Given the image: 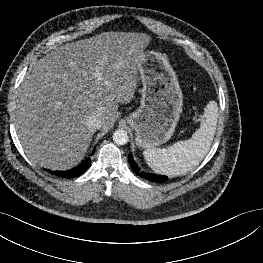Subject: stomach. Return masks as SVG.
<instances>
[{
  "instance_id": "stomach-1",
  "label": "stomach",
  "mask_w": 263,
  "mask_h": 263,
  "mask_svg": "<svg viewBox=\"0 0 263 263\" xmlns=\"http://www.w3.org/2000/svg\"><path fill=\"white\" fill-rule=\"evenodd\" d=\"M143 82L141 105L126 119L141 148L161 145L174 135L183 108V94L167 56L143 51L139 67Z\"/></svg>"
}]
</instances>
